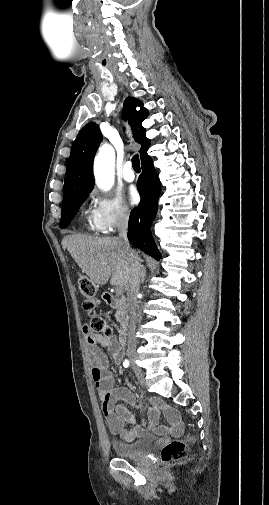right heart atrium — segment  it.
I'll use <instances>...</instances> for the list:
<instances>
[{"mask_svg":"<svg viewBox=\"0 0 269 505\" xmlns=\"http://www.w3.org/2000/svg\"><path fill=\"white\" fill-rule=\"evenodd\" d=\"M129 217L130 209L121 197L98 192L92 194L91 221L96 230L112 232Z\"/></svg>","mask_w":269,"mask_h":505,"instance_id":"1","label":"right heart atrium"}]
</instances>
